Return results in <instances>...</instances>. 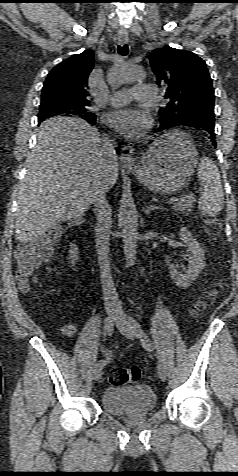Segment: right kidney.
Masks as SVG:
<instances>
[{"mask_svg":"<svg viewBox=\"0 0 238 476\" xmlns=\"http://www.w3.org/2000/svg\"><path fill=\"white\" fill-rule=\"evenodd\" d=\"M77 251H78V247L75 244H71L70 250H69V258H70V264L72 267H74L78 261Z\"/></svg>","mask_w":238,"mask_h":476,"instance_id":"right-kidney-1","label":"right kidney"}]
</instances>
